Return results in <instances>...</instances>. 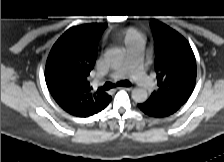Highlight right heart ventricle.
Masks as SVG:
<instances>
[{
    "label": "right heart ventricle",
    "mask_w": 224,
    "mask_h": 162,
    "mask_svg": "<svg viewBox=\"0 0 224 162\" xmlns=\"http://www.w3.org/2000/svg\"><path fill=\"white\" fill-rule=\"evenodd\" d=\"M139 39V37H138V35L135 33V31H132V30H130V31H128L127 33H126V36H125V41L126 42H134V41H136V40H138Z\"/></svg>",
    "instance_id": "1"
}]
</instances>
